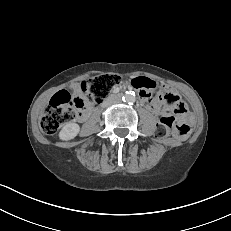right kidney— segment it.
<instances>
[{"label":"right kidney","mask_w":231,"mask_h":231,"mask_svg":"<svg viewBox=\"0 0 231 231\" xmlns=\"http://www.w3.org/2000/svg\"><path fill=\"white\" fill-rule=\"evenodd\" d=\"M80 131V126L76 123H66L59 133L62 140H71L75 138Z\"/></svg>","instance_id":"1"}]
</instances>
